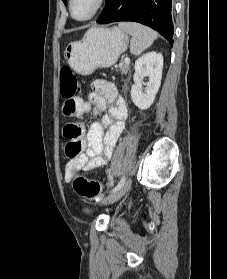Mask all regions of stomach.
Segmentation results:
<instances>
[{"label": "stomach", "instance_id": "1", "mask_svg": "<svg viewBox=\"0 0 227 279\" xmlns=\"http://www.w3.org/2000/svg\"><path fill=\"white\" fill-rule=\"evenodd\" d=\"M128 36L118 27L90 28L80 41L67 44L64 57L81 75H90L97 68L113 66L126 51Z\"/></svg>", "mask_w": 227, "mask_h": 279}]
</instances>
